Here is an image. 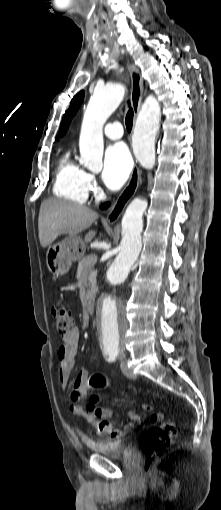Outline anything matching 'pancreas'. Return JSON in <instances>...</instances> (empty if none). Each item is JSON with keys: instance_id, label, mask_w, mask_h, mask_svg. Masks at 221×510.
I'll return each mask as SVG.
<instances>
[{"instance_id": "obj_1", "label": "pancreas", "mask_w": 221, "mask_h": 510, "mask_svg": "<svg viewBox=\"0 0 221 510\" xmlns=\"http://www.w3.org/2000/svg\"><path fill=\"white\" fill-rule=\"evenodd\" d=\"M91 257L92 255H87L81 258L78 263V273L86 275L89 283H92L94 280L93 267L96 263V261H91ZM87 293H89V290Z\"/></svg>"}]
</instances>
